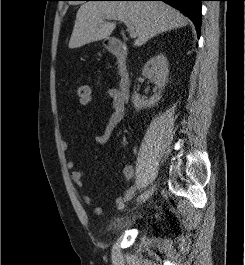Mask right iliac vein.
I'll use <instances>...</instances> for the list:
<instances>
[{
	"mask_svg": "<svg viewBox=\"0 0 245 265\" xmlns=\"http://www.w3.org/2000/svg\"><path fill=\"white\" fill-rule=\"evenodd\" d=\"M153 191L154 186L137 199V204H141L142 202L146 201L152 195Z\"/></svg>",
	"mask_w": 245,
	"mask_h": 265,
	"instance_id": "right-iliac-vein-1",
	"label": "right iliac vein"
}]
</instances>
